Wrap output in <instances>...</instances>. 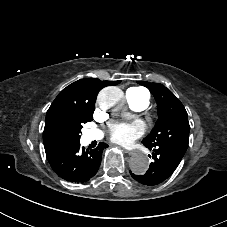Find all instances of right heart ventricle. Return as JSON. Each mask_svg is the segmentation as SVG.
Segmentation results:
<instances>
[{"label": "right heart ventricle", "instance_id": "1", "mask_svg": "<svg viewBox=\"0 0 227 227\" xmlns=\"http://www.w3.org/2000/svg\"><path fill=\"white\" fill-rule=\"evenodd\" d=\"M128 91H131V92H138L136 89H132V88H131V89H128L127 92H128Z\"/></svg>", "mask_w": 227, "mask_h": 227}]
</instances>
